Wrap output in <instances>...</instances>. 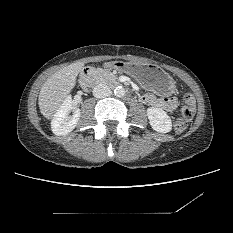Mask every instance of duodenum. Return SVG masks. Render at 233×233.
<instances>
[{
    "mask_svg": "<svg viewBox=\"0 0 233 233\" xmlns=\"http://www.w3.org/2000/svg\"><path fill=\"white\" fill-rule=\"evenodd\" d=\"M114 64L109 62L105 64V67H113ZM94 69L93 68H87L85 69L80 77V82L82 84L83 87L85 88H91L93 82H92V73H93Z\"/></svg>",
    "mask_w": 233,
    "mask_h": 233,
    "instance_id": "1",
    "label": "duodenum"
}]
</instances>
